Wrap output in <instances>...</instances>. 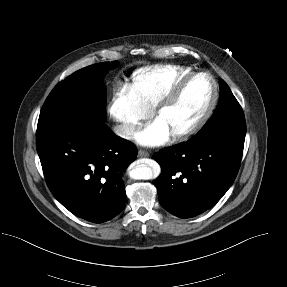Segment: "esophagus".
<instances>
[{
  "mask_svg": "<svg viewBox=\"0 0 287 287\" xmlns=\"http://www.w3.org/2000/svg\"><path fill=\"white\" fill-rule=\"evenodd\" d=\"M148 156H149V153L143 150H139L138 157L142 158V157H148Z\"/></svg>",
  "mask_w": 287,
  "mask_h": 287,
  "instance_id": "obj_1",
  "label": "esophagus"
}]
</instances>
